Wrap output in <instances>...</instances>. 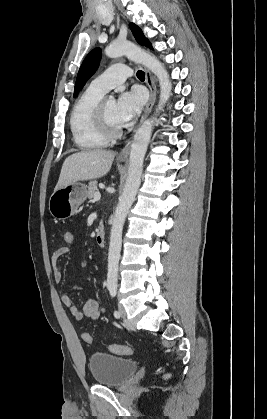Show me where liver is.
Instances as JSON below:
<instances>
[{
	"instance_id": "liver-1",
	"label": "liver",
	"mask_w": 267,
	"mask_h": 419,
	"mask_svg": "<svg viewBox=\"0 0 267 419\" xmlns=\"http://www.w3.org/2000/svg\"><path fill=\"white\" fill-rule=\"evenodd\" d=\"M116 153L109 150L94 149L68 156L61 169L55 190L84 180L100 178L106 175L113 163Z\"/></svg>"
}]
</instances>
